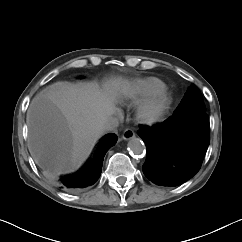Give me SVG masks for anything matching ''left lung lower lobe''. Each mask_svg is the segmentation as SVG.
I'll return each mask as SVG.
<instances>
[{"instance_id": "left-lung-lower-lobe-1", "label": "left lung lower lobe", "mask_w": 242, "mask_h": 242, "mask_svg": "<svg viewBox=\"0 0 242 242\" xmlns=\"http://www.w3.org/2000/svg\"><path fill=\"white\" fill-rule=\"evenodd\" d=\"M138 135L146 144L144 175L161 186H178L200 169L209 146L207 114H191L179 121L171 117L149 127L141 125Z\"/></svg>"}]
</instances>
